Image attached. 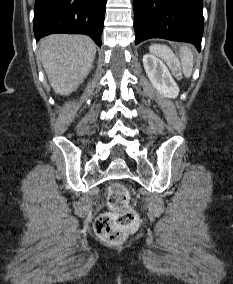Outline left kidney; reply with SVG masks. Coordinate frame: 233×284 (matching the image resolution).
<instances>
[{
  "mask_svg": "<svg viewBox=\"0 0 233 284\" xmlns=\"http://www.w3.org/2000/svg\"><path fill=\"white\" fill-rule=\"evenodd\" d=\"M143 65L153 87L166 98L178 96L179 88L166 65L156 56L145 54Z\"/></svg>",
  "mask_w": 233,
  "mask_h": 284,
  "instance_id": "1",
  "label": "left kidney"
}]
</instances>
